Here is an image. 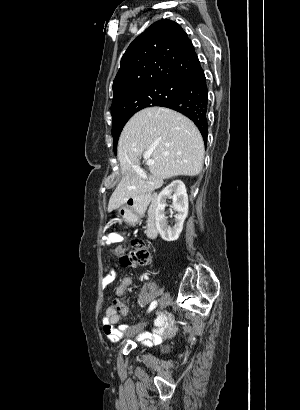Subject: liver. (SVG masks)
I'll list each match as a JSON object with an SVG mask.
<instances>
[{"instance_id": "liver-1", "label": "liver", "mask_w": 300, "mask_h": 410, "mask_svg": "<svg viewBox=\"0 0 300 410\" xmlns=\"http://www.w3.org/2000/svg\"><path fill=\"white\" fill-rule=\"evenodd\" d=\"M151 152V177L137 173L140 157ZM118 159L123 178L110 197L108 212L130 198L152 192L165 179L198 175L203 166L204 142L194 123L184 115L164 107L136 113L125 125L118 141Z\"/></svg>"}]
</instances>
